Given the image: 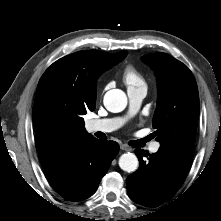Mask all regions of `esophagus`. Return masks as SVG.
<instances>
[{"label": "esophagus", "mask_w": 221, "mask_h": 221, "mask_svg": "<svg viewBox=\"0 0 221 221\" xmlns=\"http://www.w3.org/2000/svg\"><path fill=\"white\" fill-rule=\"evenodd\" d=\"M120 149L121 150H124V151H131L132 149H131V147H129L128 145H126V144H121L120 145Z\"/></svg>", "instance_id": "obj_1"}]
</instances>
